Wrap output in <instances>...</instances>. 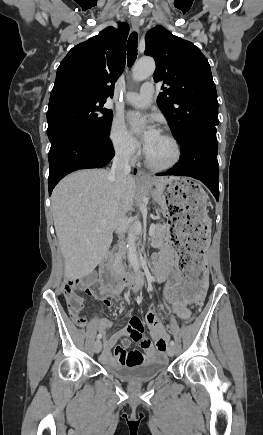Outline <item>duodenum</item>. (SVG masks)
Returning <instances> with one entry per match:
<instances>
[{"label":"duodenum","instance_id":"1","mask_svg":"<svg viewBox=\"0 0 263 435\" xmlns=\"http://www.w3.org/2000/svg\"><path fill=\"white\" fill-rule=\"evenodd\" d=\"M104 278L107 290L112 294L119 293L123 288H132L137 291L141 286V280L130 274L121 272L115 264L114 253H108L104 263Z\"/></svg>","mask_w":263,"mask_h":435}]
</instances>
